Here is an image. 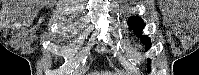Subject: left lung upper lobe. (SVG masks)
Segmentation results:
<instances>
[{"label": "left lung upper lobe", "mask_w": 199, "mask_h": 75, "mask_svg": "<svg viewBox=\"0 0 199 75\" xmlns=\"http://www.w3.org/2000/svg\"><path fill=\"white\" fill-rule=\"evenodd\" d=\"M128 25L130 27V30L133 29L134 33L137 34L138 37H141V42L145 45L146 50H149L151 47L150 38L148 36L142 35L143 28L146 25V24H144L143 20L139 17H131L128 20ZM148 62L150 64L149 59H148ZM148 69H149V67H148Z\"/></svg>", "instance_id": "5c2ea615"}]
</instances>
